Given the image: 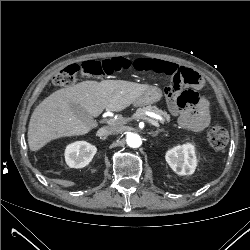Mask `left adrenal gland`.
<instances>
[{
  "instance_id": "a2214340",
  "label": "left adrenal gland",
  "mask_w": 250,
  "mask_h": 250,
  "mask_svg": "<svg viewBox=\"0 0 250 250\" xmlns=\"http://www.w3.org/2000/svg\"><path fill=\"white\" fill-rule=\"evenodd\" d=\"M160 132H164V130H163V129H159V130H157V131H155V132H151V136H152V137H156V136H158V134H159Z\"/></svg>"
}]
</instances>
